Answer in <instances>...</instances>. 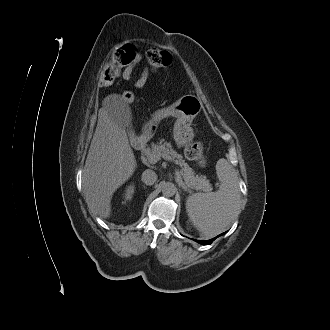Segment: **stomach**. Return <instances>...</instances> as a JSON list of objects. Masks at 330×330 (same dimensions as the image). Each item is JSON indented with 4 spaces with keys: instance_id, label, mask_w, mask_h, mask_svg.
Returning a JSON list of instances; mask_svg holds the SVG:
<instances>
[{
    "instance_id": "stomach-1",
    "label": "stomach",
    "mask_w": 330,
    "mask_h": 330,
    "mask_svg": "<svg viewBox=\"0 0 330 330\" xmlns=\"http://www.w3.org/2000/svg\"><path fill=\"white\" fill-rule=\"evenodd\" d=\"M203 104L195 95H184L172 106L166 109L168 116L177 118L173 136L178 146L189 144L194 138V132L191 127L192 120L201 112ZM153 123L148 124L147 134L152 132Z\"/></svg>"
}]
</instances>
